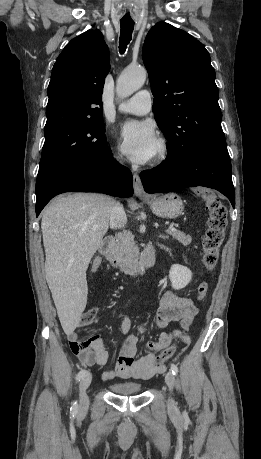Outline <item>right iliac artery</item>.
<instances>
[{
	"mask_svg": "<svg viewBox=\"0 0 261 459\" xmlns=\"http://www.w3.org/2000/svg\"><path fill=\"white\" fill-rule=\"evenodd\" d=\"M85 374H86V370H85V369H81V370L78 372L77 376H76V380H77V381H80V379H81ZM77 410H78V404H77V402L75 401V402H73V404H72L71 411H72V413L74 414V413L77 412Z\"/></svg>",
	"mask_w": 261,
	"mask_h": 459,
	"instance_id": "82829eb1",
	"label": "right iliac artery"
}]
</instances>
